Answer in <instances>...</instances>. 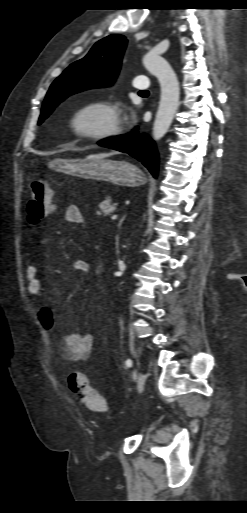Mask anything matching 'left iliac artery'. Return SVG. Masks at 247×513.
I'll return each mask as SVG.
<instances>
[{"instance_id": "left-iliac-artery-1", "label": "left iliac artery", "mask_w": 247, "mask_h": 513, "mask_svg": "<svg viewBox=\"0 0 247 513\" xmlns=\"http://www.w3.org/2000/svg\"><path fill=\"white\" fill-rule=\"evenodd\" d=\"M126 366H127V367H131V366H132V360L128 359V360L126 361Z\"/></svg>"}]
</instances>
